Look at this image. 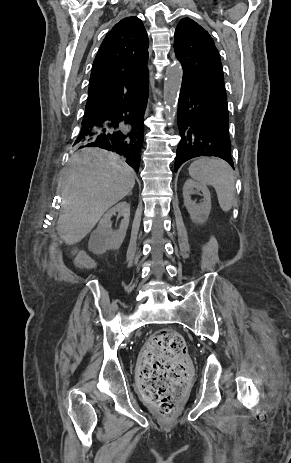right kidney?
I'll return each instance as SVG.
<instances>
[{"mask_svg":"<svg viewBox=\"0 0 291 463\" xmlns=\"http://www.w3.org/2000/svg\"><path fill=\"white\" fill-rule=\"evenodd\" d=\"M123 216L120 227L112 229L110 222L113 215ZM130 205L123 201L108 210L93 231L89 240V248L95 254H103L107 250H116L122 245L129 225Z\"/></svg>","mask_w":291,"mask_h":463,"instance_id":"right-kidney-1","label":"right kidney"}]
</instances>
